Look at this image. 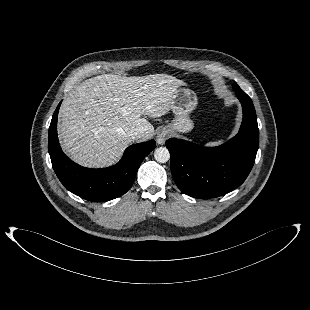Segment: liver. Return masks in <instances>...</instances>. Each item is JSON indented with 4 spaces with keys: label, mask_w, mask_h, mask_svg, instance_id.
Instances as JSON below:
<instances>
[{
    "label": "liver",
    "mask_w": 310,
    "mask_h": 310,
    "mask_svg": "<svg viewBox=\"0 0 310 310\" xmlns=\"http://www.w3.org/2000/svg\"><path fill=\"white\" fill-rule=\"evenodd\" d=\"M186 83L171 75L124 77L103 74L83 81L63 101L58 133L63 149L85 167L115 163L140 130L150 139L153 125L142 116L168 113L175 91Z\"/></svg>",
    "instance_id": "6515ba94"
}]
</instances>
